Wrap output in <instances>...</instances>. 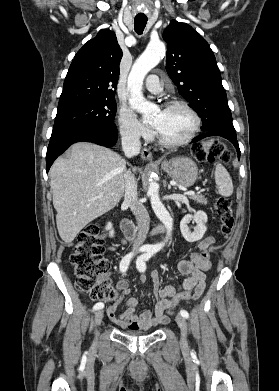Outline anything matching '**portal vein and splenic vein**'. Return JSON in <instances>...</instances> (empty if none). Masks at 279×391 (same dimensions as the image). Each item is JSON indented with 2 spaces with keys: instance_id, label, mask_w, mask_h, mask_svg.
Returning a JSON list of instances; mask_svg holds the SVG:
<instances>
[{
  "instance_id": "1",
  "label": "portal vein and splenic vein",
  "mask_w": 279,
  "mask_h": 391,
  "mask_svg": "<svg viewBox=\"0 0 279 391\" xmlns=\"http://www.w3.org/2000/svg\"><path fill=\"white\" fill-rule=\"evenodd\" d=\"M185 195H194L195 192L194 191H187V192H184Z\"/></svg>"
}]
</instances>
